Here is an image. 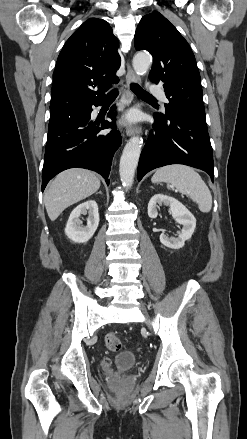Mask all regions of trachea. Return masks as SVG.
Listing matches in <instances>:
<instances>
[{"mask_svg": "<svg viewBox=\"0 0 247 439\" xmlns=\"http://www.w3.org/2000/svg\"><path fill=\"white\" fill-rule=\"evenodd\" d=\"M130 88L139 97L154 99L153 96H151L140 85H138L136 83H131V87ZM117 95H118V91L117 90H112V91H110L108 93V96H117Z\"/></svg>", "mask_w": 247, "mask_h": 439, "instance_id": "3493384b", "label": "trachea"}]
</instances>
